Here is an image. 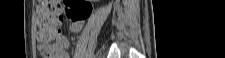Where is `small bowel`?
I'll return each instance as SVG.
<instances>
[{"label": "small bowel", "mask_w": 225, "mask_h": 58, "mask_svg": "<svg viewBox=\"0 0 225 58\" xmlns=\"http://www.w3.org/2000/svg\"><path fill=\"white\" fill-rule=\"evenodd\" d=\"M83 25V20L82 21H72L69 25V31L72 33H77L81 30ZM69 42L66 39L65 36H60L59 38L56 39V41L53 44L49 45H39L38 50L39 52L43 53L45 51H49L52 54H54L57 51H61V54L57 56V58H69L68 52L65 50L68 48Z\"/></svg>", "instance_id": "1"}]
</instances>
